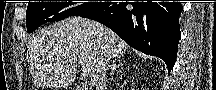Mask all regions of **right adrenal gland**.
I'll use <instances>...</instances> for the list:
<instances>
[{
	"mask_svg": "<svg viewBox=\"0 0 216 90\" xmlns=\"http://www.w3.org/2000/svg\"><path fill=\"white\" fill-rule=\"evenodd\" d=\"M122 60H125L124 56H121V58H116V60H113L112 68H111L112 74H111L110 82H113L114 74H115V72L117 70L118 62H119V64H122Z\"/></svg>",
	"mask_w": 216,
	"mask_h": 90,
	"instance_id": "1",
	"label": "right adrenal gland"
}]
</instances>
